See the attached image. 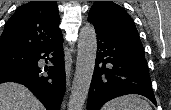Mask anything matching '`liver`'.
<instances>
[{"mask_svg":"<svg viewBox=\"0 0 171 110\" xmlns=\"http://www.w3.org/2000/svg\"><path fill=\"white\" fill-rule=\"evenodd\" d=\"M0 110H45L41 102L23 85L0 84Z\"/></svg>","mask_w":171,"mask_h":110,"instance_id":"obj_1","label":"liver"}]
</instances>
